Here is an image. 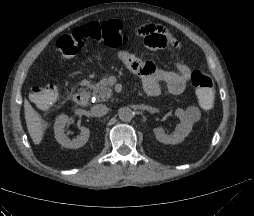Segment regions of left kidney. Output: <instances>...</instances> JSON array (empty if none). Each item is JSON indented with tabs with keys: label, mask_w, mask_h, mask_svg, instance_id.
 Wrapping results in <instances>:
<instances>
[{
	"label": "left kidney",
	"mask_w": 254,
	"mask_h": 216,
	"mask_svg": "<svg viewBox=\"0 0 254 216\" xmlns=\"http://www.w3.org/2000/svg\"><path fill=\"white\" fill-rule=\"evenodd\" d=\"M175 116H177L181 122L176 127V132L174 134H165L162 127H157L153 129L156 139L164 144H178L182 142L186 136L192 131L193 123L190 121L181 108L176 109Z\"/></svg>",
	"instance_id": "obj_1"
}]
</instances>
